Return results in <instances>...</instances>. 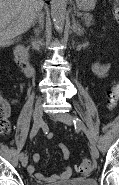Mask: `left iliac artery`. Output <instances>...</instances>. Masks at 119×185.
Returning <instances> with one entry per match:
<instances>
[{
	"label": "left iliac artery",
	"instance_id": "left-iliac-artery-1",
	"mask_svg": "<svg viewBox=\"0 0 119 185\" xmlns=\"http://www.w3.org/2000/svg\"><path fill=\"white\" fill-rule=\"evenodd\" d=\"M73 122H74L75 128L83 130L87 135V137L89 138V140L93 143L92 136L88 131V129L86 128L84 122L78 117H75Z\"/></svg>",
	"mask_w": 119,
	"mask_h": 185
}]
</instances>
